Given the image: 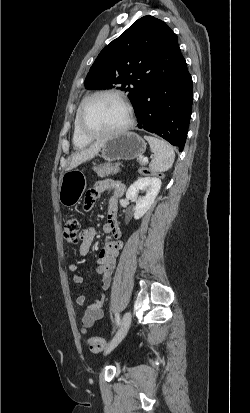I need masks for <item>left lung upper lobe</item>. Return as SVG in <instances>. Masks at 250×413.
<instances>
[{
  "mask_svg": "<svg viewBox=\"0 0 250 413\" xmlns=\"http://www.w3.org/2000/svg\"><path fill=\"white\" fill-rule=\"evenodd\" d=\"M176 38L162 20L150 15L138 19L99 53L85 87L110 89L121 85L134 104L144 83L162 71L167 49Z\"/></svg>",
  "mask_w": 250,
  "mask_h": 413,
  "instance_id": "obj_1",
  "label": "left lung upper lobe"
}]
</instances>
